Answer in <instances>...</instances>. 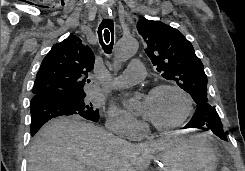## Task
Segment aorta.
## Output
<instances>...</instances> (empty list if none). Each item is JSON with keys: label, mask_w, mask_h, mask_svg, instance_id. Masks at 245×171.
Instances as JSON below:
<instances>
[{"label": "aorta", "mask_w": 245, "mask_h": 171, "mask_svg": "<svg viewBox=\"0 0 245 171\" xmlns=\"http://www.w3.org/2000/svg\"><path fill=\"white\" fill-rule=\"evenodd\" d=\"M138 50V42L133 37H122L118 40L114 50V62L122 64L133 57Z\"/></svg>", "instance_id": "obj_1"}]
</instances>
